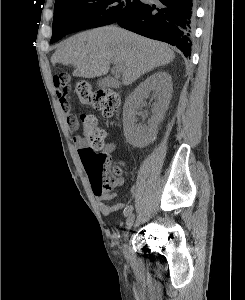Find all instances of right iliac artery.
<instances>
[{"mask_svg": "<svg viewBox=\"0 0 245 300\" xmlns=\"http://www.w3.org/2000/svg\"><path fill=\"white\" fill-rule=\"evenodd\" d=\"M132 211H133V206L130 205V206H128V207L125 209L124 215H125V216H128Z\"/></svg>", "mask_w": 245, "mask_h": 300, "instance_id": "obj_1", "label": "right iliac artery"}]
</instances>
